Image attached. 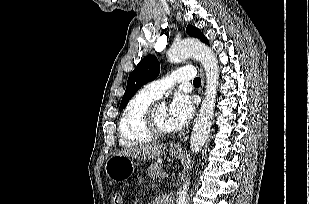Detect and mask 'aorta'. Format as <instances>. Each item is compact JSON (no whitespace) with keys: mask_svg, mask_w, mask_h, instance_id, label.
Returning <instances> with one entry per match:
<instances>
[{"mask_svg":"<svg viewBox=\"0 0 309 204\" xmlns=\"http://www.w3.org/2000/svg\"><path fill=\"white\" fill-rule=\"evenodd\" d=\"M171 63H180L189 57L201 62L206 74L205 97L195 119L190 137V149L193 153L201 150L205 144L215 110V101L219 80L218 60L212 49L207 45L191 39L174 43L167 52ZM189 183L186 181L178 193L177 204H186Z\"/></svg>","mask_w":309,"mask_h":204,"instance_id":"1","label":"aorta"}]
</instances>
